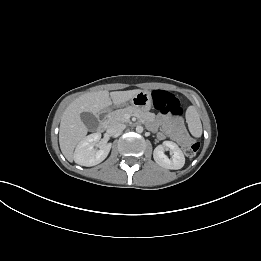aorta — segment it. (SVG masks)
Wrapping results in <instances>:
<instances>
[{"instance_id": "762f6f07", "label": "aorta", "mask_w": 261, "mask_h": 261, "mask_svg": "<svg viewBox=\"0 0 261 261\" xmlns=\"http://www.w3.org/2000/svg\"><path fill=\"white\" fill-rule=\"evenodd\" d=\"M136 132L142 133L143 132V127L142 126H137L136 127Z\"/></svg>"}]
</instances>
